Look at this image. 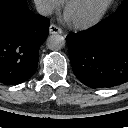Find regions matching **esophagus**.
<instances>
[{
	"instance_id": "34e87169",
	"label": "esophagus",
	"mask_w": 128,
	"mask_h": 128,
	"mask_svg": "<svg viewBox=\"0 0 128 128\" xmlns=\"http://www.w3.org/2000/svg\"><path fill=\"white\" fill-rule=\"evenodd\" d=\"M50 34H61L63 31L60 27L55 24H51L49 27Z\"/></svg>"
}]
</instances>
